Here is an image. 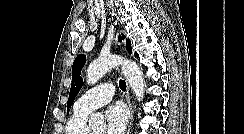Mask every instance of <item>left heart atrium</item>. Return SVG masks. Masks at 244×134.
<instances>
[{
  "label": "left heart atrium",
  "mask_w": 244,
  "mask_h": 134,
  "mask_svg": "<svg viewBox=\"0 0 244 134\" xmlns=\"http://www.w3.org/2000/svg\"><path fill=\"white\" fill-rule=\"evenodd\" d=\"M106 126L104 134H125L128 113L124 106L117 104L105 112Z\"/></svg>",
  "instance_id": "left-heart-atrium-1"
}]
</instances>
